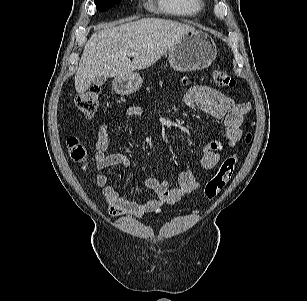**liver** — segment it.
<instances>
[{"mask_svg": "<svg viewBox=\"0 0 307 301\" xmlns=\"http://www.w3.org/2000/svg\"><path fill=\"white\" fill-rule=\"evenodd\" d=\"M194 27L185 23L143 18L94 33L85 44L75 74L77 93L87 91L97 76L120 77L157 62ZM136 52L133 60L129 53Z\"/></svg>", "mask_w": 307, "mask_h": 301, "instance_id": "liver-1", "label": "liver"}]
</instances>
